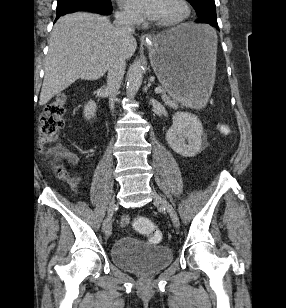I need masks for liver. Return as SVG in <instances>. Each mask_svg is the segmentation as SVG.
Listing matches in <instances>:
<instances>
[{
  "mask_svg": "<svg viewBox=\"0 0 286 308\" xmlns=\"http://www.w3.org/2000/svg\"><path fill=\"white\" fill-rule=\"evenodd\" d=\"M48 46L39 100L41 106L78 79L94 81L101 78L114 57L131 58L137 42L132 35L117 30L108 17L77 12L57 20Z\"/></svg>",
  "mask_w": 286,
  "mask_h": 308,
  "instance_id": "obj_1",
  "label": "liver"
}]
</instances>
